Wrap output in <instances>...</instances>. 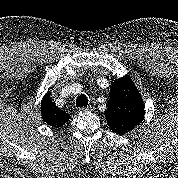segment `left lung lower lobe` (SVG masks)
Returning a JSON list of instances; mask_svg holds the SVG:
<instances>
[{"instance_id": "left-lung-lower-lobe-1", "label": "left lung lower lobe", "mask_w": 178, "mask_h": 178, "mask_svg": "<svg viewBox=\"0 0 178 178\" xmlns=\"http://www.w3.org/2000/svg\"><path fill=\"white\" fill-rule=\"evenodd\" d=\"M116 134H119V135H124L125 133L123 132H120V131H115Z\"/></svg>"}]
</instances>
